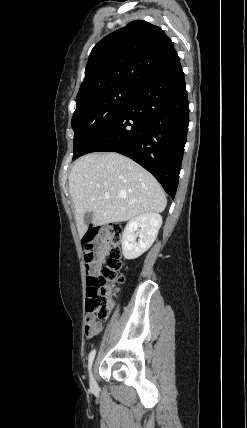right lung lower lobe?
<instances>
[{
	"label": "right lung lower lobe",
	"mask_w": 247,
	"mask_h": 428,
	"mask_svg": "<svg viewBox=\"0 0 247 428\" xmlns=\"http://www.w3.org/2000/svg\"><path fill=\"white\" fill-rule=\"evenodd\" d=\"M189 124L179 60L143 86L82 155L118 152L147 169L173 199Z\"/></svg>",
	"instance_id": "obj_1"
}]
</instances>
